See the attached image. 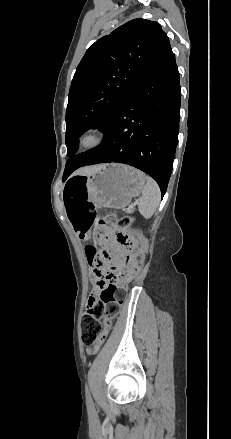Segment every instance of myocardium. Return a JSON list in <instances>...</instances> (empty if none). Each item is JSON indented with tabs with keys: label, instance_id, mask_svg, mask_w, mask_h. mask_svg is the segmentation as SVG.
Here are the masks:
<instances>
[{
	"label": "myocardium",
	"instance_id": "f54148a6",
	"mask_svg": "<svg viewBox=\"0 0 231 439\" xmlns=\"http://www.w3.org/2000/svg\"><path fill=\"white\" fill-rule=\"evenodd\" d=\"M107 140V133L100 127L84 129L77 138V147L82 151H93L101 148Z\"/></svg>",
	"mask_w": 231,
	"mask_h": 439
}]
</instances>
